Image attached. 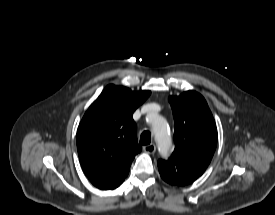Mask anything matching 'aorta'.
Returning <instances> with one entry per match:
<instances>
[{"label":"aorta","mask_w":275,"mask_h":215,"mask_svg":"<svg viewBox=\"0 0 275 215\" xmlns=\"http://www.w3.org/2000/svg\"><path fill=\"white\" fill-rule=\"evenodd\" d=\"M152 129L160 154L166 157L171 150L172 140L166 120L156 115L152 122Z\"/></svg>","instance_id":"obj_1"}]
</instances>
